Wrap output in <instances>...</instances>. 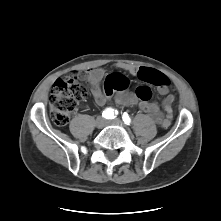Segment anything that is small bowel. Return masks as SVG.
I'll return each mask as SVG.
<instances>
[{
    "instance_id": "c3829d8e",
    "label": "small bowel",
    "mask_w": 221,
    "mask_h": 221,
    "mask_svg": "<svg viewBox=\"0 0 221 221\" xmlns=\"http://www.w3.org/2000/svg\"><path fill=\"white\" fill-rule=\"evenodd\" d=\"M118 68L129 72L130 74L137 75L139 69L134 65L120 63L117 65ZM105 76V70L103 68H95L83 75V78L88 82L91 87V92L93 99L97 105H104L110 99L112 94H107V92L102 90L101 81ZM107 83L113 87H122L116 89V101L124 106H133L138 104L140 109L144 112L150 114L152 120L157 123L164 125H169L172 118V104L174 102V96L169 94L167 86L158 87L157 91L160 95L165 96L162 102L163 112H161L159 105L154 101H145L137 97L136 94L130 93L127 88L129 81L127 77L120 73H113L108 76Z\"/></svg>"
}]
</instances>
